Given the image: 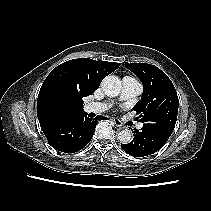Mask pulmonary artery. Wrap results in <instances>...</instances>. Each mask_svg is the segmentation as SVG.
<instances>
[{
  "label": "pulmonary artery",
  "mask_w": 211,
  "mask_h": 211,
  "mask_svg": "<svg viewBox=\"0 0 211 211\" xmlns=\"http://www.w3.org/2000/svg\"><path fill=\"white\" fill-rule=\"evenodd\" d=\"M143 87L140 81L132 76H125L122 79V90L120 100H130L142 93ZM112 106L111 102H91L86 105V111L92 113H101ZM143 127L142 123L137 125L138 129Z\"/></svg>",
  "instance_id": "obj_1"
}]
</instances>
